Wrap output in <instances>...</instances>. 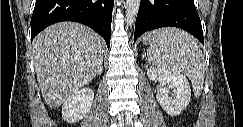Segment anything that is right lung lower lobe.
Wrapping results in <instances>:
<instances>
[{
  "instance_id": "1",
  "label": "right lung lower lobe",
  "mask_w": 243,
  "mask_h": 127,
  "mask_svg": "<svg viewBox=\"0 0 243 127\" xmlns=\"http://www.w3.org/2000/svg\"><path fill=\"white\" fill-rule=\"evenodd\" d=\"M114 0H36L31 18V41L46 27L62 21L85 24L110 45Z\"/></svg>"
}]
</instances>
